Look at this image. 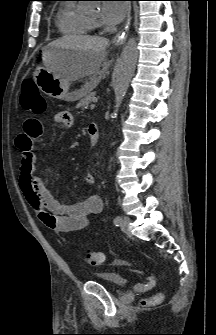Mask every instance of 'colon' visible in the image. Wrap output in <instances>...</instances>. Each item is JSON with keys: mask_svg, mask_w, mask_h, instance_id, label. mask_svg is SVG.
Here are the masks:
<instances>
[{"mask_svg": "<svg viewBox=\"0 0 216 335\" xmlns=\"http://www.w3.org/2000/svg\"><path fill=\"white\" fill-rule=\"evenodd\" d=\"M20 104L22 109L26 112H31L36 115L45 112L46 101L33 80H25L23 82ZM84 257L86 262L92 266L101 265L105 260V256L102 252L89 248L84 251ZM151 301L152 300H143L142 305H146Z\"/></svg>", "mask_w": 216, "mask_h": 335, "instance_id": "obj_1", "label": "colon"}]
</instances>
